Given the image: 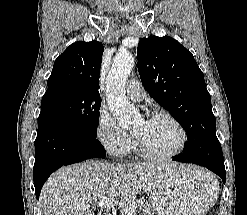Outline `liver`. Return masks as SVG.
<instances>
[{
	"mask_svg": "<svg viewBox=\"0 0 247 215\" xmlns=\"http://www.w3.org/2000/svg\"><path fill=\"white\" fill-rule=\"evenodd\" d=\"M177 166L174 162L115 165L88 161L63 167L50 176L41 190L43 215H94L92 208L103 198L125 207Z\"/></svg>",
	"mask_w": 247,
	"mask_h": 215,
	"instance_id": "obj_1",
	"label": "liver"
}]
</instances>
